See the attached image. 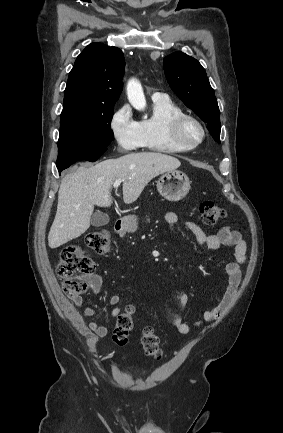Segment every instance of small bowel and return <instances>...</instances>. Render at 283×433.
Segmentation results:
<instances>
[{
	"mask_svg": "<svg viewBox=\"0 0 283 433\" xmlns=\"http://www.w3.org/2000/svg\"><path fill=\"white\" fill-rule=\"evenodd\" d=\"M165 222L168 228L171 231H174V228L178 223V216L174 212H168L165 215ZM185 225L193 233L197 243L201 246L211 250H217L222 246H230L234 249L233 261L226 266V291L218 306L204 312L202 321L197 323V325L200 326L203 323H209L220 319L234 303L241 281V265L245 261L247 247L242 235L238 231L233 230L231 227L225 226L215 234H207L193 222L187 221L185 222ZM90 286L92 292L96 294L101 289V281L98 277L94 276L90 279ZM179 301L181 305H186L188 302L187 294H180ZM120 302L121 296L119 294H114L109 299L110 305L113 306L111 310V315L113 317H117L121 314V308L119 306ZM82 305V297L76 296L71 298V301L66 304L65 308L69 319L72 322L80 325L84 324V321L77 308L81 307ZM84 314L88 317H94L97 314V311L94 308L86 307L84 309ZM172 324L181 334H188L191 330L190 325L186 323L180 316H174L172 319ZM87 327L100 338L108 336L110 332L108 327L100 325L96 320L90 321Z\"/></svg>",
	"mask_w": 283,
	"mask_h": 433,
	"instance_id": "1",
	"label": "small bowel"
}]
</instances>
